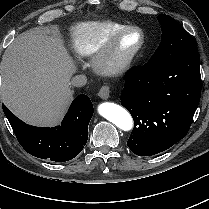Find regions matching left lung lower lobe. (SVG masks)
<instances>
[{
  "instance_id": "obj_1",
  "label": "left lung lower lobe",
  "mask_w": 209,
  "mask_h": 209,
  "mask_svg": "<svg viewBox=\"0 0 209 209\" xmlns=\"http://www.w3.org/2000/svg\"><path fill=\"white\" fill-rule=\"evenodd\" d=\"M200 94L198 52L165 65L145 64L129 71L120 100L134 119L127 141L131 151L155 155L184 138Z\"/></svg>"
}]
</instances>
